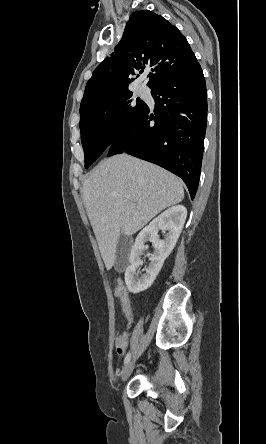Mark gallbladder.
<instances>
[{
    "label": "gallbladder",
    "instance_id": "bac80fb5",
    "mask_svg": "<svg viewBox=\"0 0 266 444\" xmlns=\"http://www.w3.org/2000/svg\"><path fill=\"white\" fill-rule=\"evenodd\" d=\"M129 249L130 238L124 234H120L116 248V260L114 265L116 271L121 272L124 270L128 261Z\"/></svg>",
    "mask_w": 266,
    "mask_h": 444
}]
</instances>
